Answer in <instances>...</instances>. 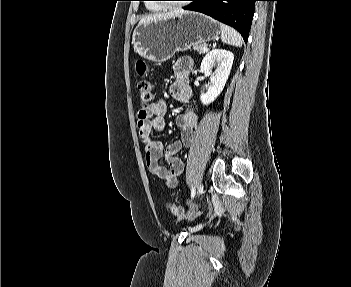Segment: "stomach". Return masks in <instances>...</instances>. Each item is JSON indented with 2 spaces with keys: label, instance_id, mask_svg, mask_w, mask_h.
<instances>
[{
  "label": "stomach",
  "instance_id": "obj_1",
  "mask_svg": "<svg viewBox=\"0 0 351 287\" xmlns=\"http://www.w3.org/2000/svg\"><path fill=\"white\" fill-rule=\"evenodd\" d=\"M221 33V24L201 13L189 12L166 19L139 23L132 36L136 53L162 63L192 43H205Z\"/></svg>",
  "mask_w": 351,
  "mask_h": 287
}]
</instances>
